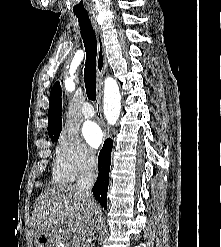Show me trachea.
I'll list each match as a JSON object with an SVG mask.
<instances>
[{"instance_id":"obj_1","label":"trachea","mask_w":221,"mask_h":247,"mask_svg":"<svg viewBox=\"0 0 221 247\" xmlns=\"http://www.w3.org/2000/svg\"><path fill=\"white\" fill-rule=\"evenodd\" d=\"M80 25L81 35L83 38L86 63L84 69V82L87 97L96 100V55H97V40L91 21L87 14H75Z\"/></svg>"}]
</instances>
